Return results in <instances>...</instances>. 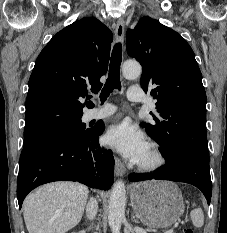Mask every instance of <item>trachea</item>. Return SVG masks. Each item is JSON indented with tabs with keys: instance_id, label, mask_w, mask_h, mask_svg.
I'll return each mask as SVG.
<instances>
[{
	"instance_id": "obj_1",
	"label": "trachea",
	"mask_w": 227,
	"mask_h": 233,
	"mask_svg": "<svg viewBox=\"0 0 227 233\" xmlns=\"http://www.w3.org/2000/svg\"><path fill=\"white\" fill-rule=\"evenodd\" d=\"M122 61V46L120 43L114 45L110 59L109 74L106 83L100 93L101 102H105L114 89L121 90L120 65Z\"/></svg>"
}]
</instances>
